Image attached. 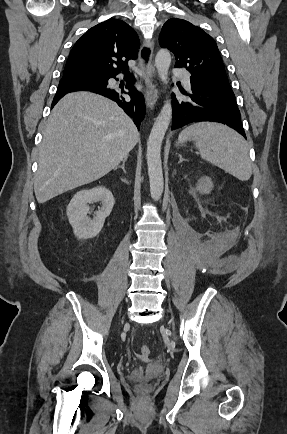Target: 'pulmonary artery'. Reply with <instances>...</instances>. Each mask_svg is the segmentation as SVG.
<instances>
[{
	"mask_svg": "<svg viewBox=\"0 0 287 434\" xmlns=\"http://www.w3.org/2000/svg\"><path fill=\"white\" fill-rule=\"evenodd\" d=\"M172 74L174 76L180 77L182 79V82H183V84L185 85L186 88L189 89L191 87L190 76L183 69H181V68H174L172 70Z\"/></svg>",
	"mask_w": 287,
	"mask_h": 434,
	"instance_id": "e3ab8cb5",
	"label": "pulmonary artery"
}]
</instances>
